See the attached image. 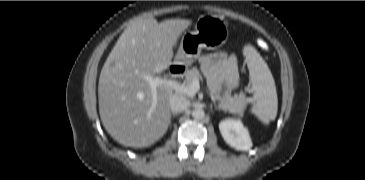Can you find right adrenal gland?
Instances as JSON below:
<instances>
[{"label":"right adrenal gland","mask_w":365,"mask_h":180,"mask_svg":"<svg viewBox=\"0 0 365 180\" xmlns=\"http://www.w3.org/2000/svg\"><path fill=\"white\" fill-rule=\"evenodd\" d=\"M177 115V113L172 112L171 116L175 117Z\"/></svg>","instance_id":"1"}]
</instances>
